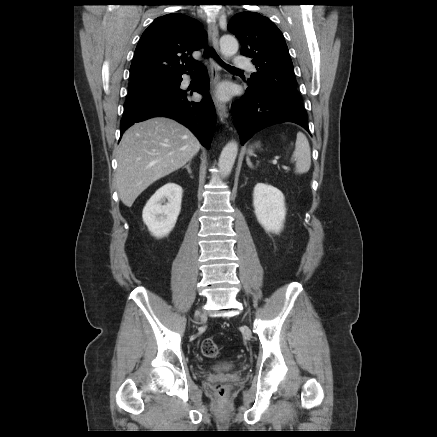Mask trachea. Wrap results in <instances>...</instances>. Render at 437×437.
<instances>
[{
    "label": "trachea",
    "instance_id": "obj_1",
    "mask_svg": "<svg viewBox=\"0 0 437 437\" xmlns=\"http://www.w3.org/2000/svg\"><path fill=\"white\" fill-rule=\"evenodd\" d=\"M205 57H209V56H212L213 58H215V60L218 62V63H220L221 65H223L224 67H226L227 69H230V70H238V69H236V68H234V67H232V66H229V65H226L221 59H220V57L216 54V52L213 50V49H210V48H208L206 51H205ZM200 70V68H196V71H199Z\"/></svg>",
    "mask_w": 437,
    "mask_h": 437
}]
</instances>
